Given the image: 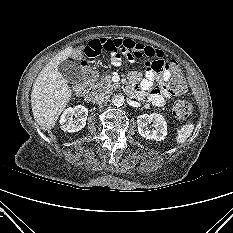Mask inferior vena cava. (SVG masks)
<instances>
[{
    "mask_svg": "<svg viewBox=\"0 0 233 233\" xmlns=\"http://www.w3.org/2000/svg\"><path fill=\"white\" fill-rule=\"evenodd\" d=\"M109 97H110L109 94H107L106 92H101V93L96 94L95 101L97 103H103L107 101Z\"/></svg>",
    "mask_w": 233,
    "mask_h": 233,
    "instance_id": "obj_1",
    "label": "inferior vena cava"
}]
</instances>
